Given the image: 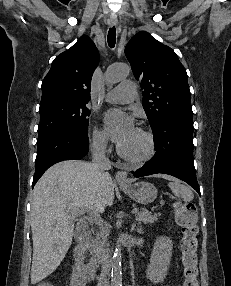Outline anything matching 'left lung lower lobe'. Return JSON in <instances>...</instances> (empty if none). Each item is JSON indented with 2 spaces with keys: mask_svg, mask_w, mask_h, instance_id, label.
Here are the masks:
<instances>
[{
  "mask_svg": "<svg viewBox=\"0 0 231 286\" xmlns=\"http://www.w3.org/2000/svg\"><path fill=\"white\" fill-rule=\"evenodd\" d=\"M156 153L135 172L134 177L164 173L175 176L193 187L199 194L193 162L192 117L170 116L153 129Z\"/></svg>",
  "mask_w": 231,
  "mask_h": 286,
  "instance_id": "1",
  "label": "left lung lower lobe"
}]
</instances>
